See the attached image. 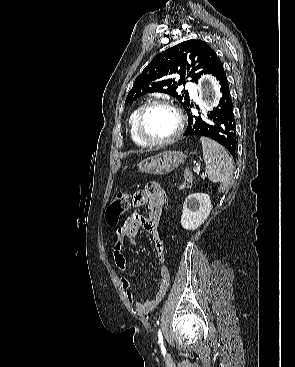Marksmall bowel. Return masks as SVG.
<instances>
[{"label": "small bowel", "instance_id": "1", "mask_svg": "<svg viewBox=\"0 0 295 367\" xmlns=\"http://www.w3.org/2000/svg\"><path fill=\"white\" fill-rule=\"evenodd\" d=\"M164 196V189L156 182H149L144 189L139 190L134 194L132 205L134 207L147 205L149 212L147 217L142 216L138 212H133L125 224L117 229L116 240L113 245V260L119 270L126 271L128 268V262L123 253L124 242L127 239L132 245H135V237L140 227H143V229L151 236L152 244L158 260L161 263L165 262L164 243L158 230ZM158 275V291L153 298H149L147 300L136 299L135 295L129 290V280L125 277L120 279V284L125 290L128 302L135 305V309L138 314L145 315L150 313L164 298L170 281L168 268L165 265H162L158 270Z\"/></svg>", "mask_w": 295, "mask_h": 367}]
</instances>
